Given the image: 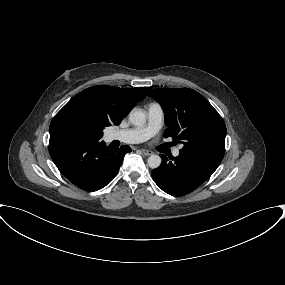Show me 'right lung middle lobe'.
I'll return each mask as SVG.
<instances>
[{
    "mask_svg": "<svg viewBox=\"0 0 285 285\" xmlns=\"http://www.w3.org/2000/svg\"><path fill=\"white\" fill-rule=\"evenodd\" d=\"M67 134L74 135L83 140L93 142L99 141L102 136V132L81 124H73L69 126L67 129Z\"/></svg>",
    "mask_w": 285,
    "mask_h": 285,
    "instance_id": "right-lung-middle-lobe-1",
    "label": "right lung middle lobe"
}]
</instances>
